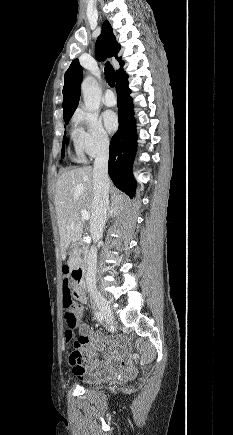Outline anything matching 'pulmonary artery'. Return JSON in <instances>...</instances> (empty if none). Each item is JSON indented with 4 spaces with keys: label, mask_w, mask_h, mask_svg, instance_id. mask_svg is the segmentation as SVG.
Here are the masks:
<instances>
[{
    "label": "pulmonary artery",
    "mask_w": 233,
    "mask_h": 435,
    "mask_svg": "<svg viewBox=\"0 0 233 435\" xmlns=\"http://www.w3.org/2000/svg\"><path fill=\"white\" fill-rule=\"evenodd\" d=\"M104 103L107 106H114L116 104V96L114 95V93L111 90H107V92L105 94Z\"/></svg>",
    "instance_id": "pulmonary-artery-1"
}]
</instances>
